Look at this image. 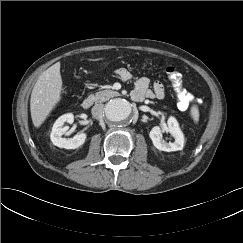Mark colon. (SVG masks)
Listing matches in <instances>:
<instances>
[{
	"instance_id": "1",
	"label": "colon",
	"mask_w": 243,
	"mask_h": 243,
	"mask_svg": "<svg viewBox=\"0 0 243 243\" xmlns=\"http://www.w3.org/2000/svg\"><path fill=\"white\" fill-rule=\"evenodd\" d=\"M164 71L171 82L179 101L184 105L188 106L192 101V97L186 93V91L182 87V76L180 72L174 66H166L164 67ZM198 104H203L201 99L197 100Z\"/></svg>"
}]
</instances>
